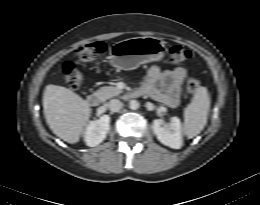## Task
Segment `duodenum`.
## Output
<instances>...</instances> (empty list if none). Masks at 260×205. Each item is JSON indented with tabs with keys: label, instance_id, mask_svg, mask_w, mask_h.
Masks as SVG:
<instances>
[{
	"label": "duodenum",
	"instance_id": "duodenum-1",
	"mask_svg": "<svg viewBox=\"0 0 260 205\" xmlns=\"http://www.w3.org/2000/svg\"><path fill=\"white\" fill-rule=\"evenodd\" d=\"M141 94H143V93L141 92V90H140V91H133V92L128 93V94H127V97H128V98H136V97L140 96ZM85 100H86V103H87L91 108H97V107H99L100 104H101V99H100V97H99L97 94H95V93H90V94H88V95L86 96Z\"/></svg>",
	"mask_w": 260,
	"mask_h": 205
}]
</instances>
